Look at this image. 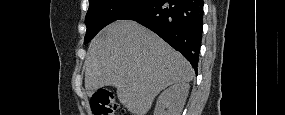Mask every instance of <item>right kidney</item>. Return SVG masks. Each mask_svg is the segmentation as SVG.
Returning a JSON list of instances; mask_svg holds the SVG:
<instances>
[{
  "label": "right kidney",
  "mask_w": 285,
  "mask_h": 115,
  "mask_svg": "<svg viewBox=\"0 0 285 115\" xmlns=\"http://www.w3.org/2000/svg\"><path fill=\"white\" fill-rule=\"evenodd\" d=\"M189 84L170 86L158 97L154 115H180L189 92Z\"/></svg>",
  "instance_id": "right-kidney-1"
}]
</instances>
